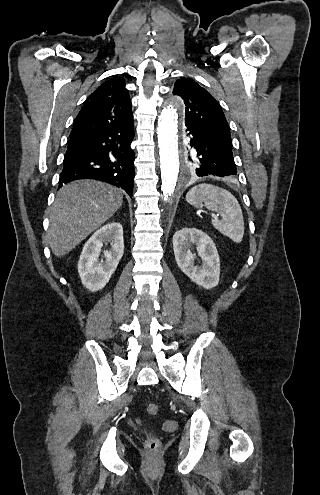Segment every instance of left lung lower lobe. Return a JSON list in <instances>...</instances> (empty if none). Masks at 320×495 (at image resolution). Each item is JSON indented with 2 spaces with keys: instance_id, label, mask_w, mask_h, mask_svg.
Segmentation results:
<instances>
[{
  "instance_id": "left-lung-lower-lobe-1",
  "label": "left lung lower lobe",
  "mask_w": 320,
  "mask_h": 495,
  "mask_svg": "<svg viewBox=\"0 0 320 495\" xmlns=\"http://www.w3.org/2000/svg\"><path fill=\"white\" fill-rule=\"evenodd\" d=\"M190 146L199 154L197 176L226 177L236 175L232 150L217 143L191 123H185Z\"/></svg>"
}]
</instances>
